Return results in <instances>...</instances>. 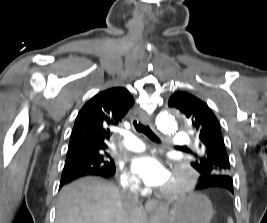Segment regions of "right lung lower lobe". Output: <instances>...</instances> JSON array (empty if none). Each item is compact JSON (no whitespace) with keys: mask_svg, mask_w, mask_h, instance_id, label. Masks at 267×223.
<instances>
[{"mask_svg":"<svg viewBox=\"0 0 267 223\" xmlns=\"http://www.w3.org/2000/svg\"><path fill=\"white\" fill-rule=\"evenodd\" d=\"M87 175H92V176H101V177H111L113 174H105V173H80V172H64L62 173L61 177V182H60V187L63 186L65 183L70 182L76 178L82 177V176H87Z\"/></svg>","mask_w":267,"mask_h":223,"instance_id":"right-lung-lower-lobe-1","label":"right lung lower lobe"}]
</instances>
